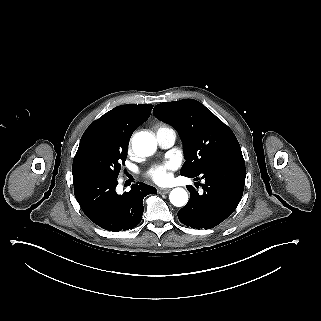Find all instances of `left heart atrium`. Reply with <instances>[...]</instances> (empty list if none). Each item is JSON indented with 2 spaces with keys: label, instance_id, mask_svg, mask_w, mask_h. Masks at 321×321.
Returning a JSON list of instances; mask_svg holds the SVG:
<instances>
[{
  "label": "left heart atrium",
  "instance_id": "39dd6f15",
  "mask_svg": "<svg viewBox=\"0 0 321 321\" xmlns=\"http://www.w3.org/2000/svg\"><path fill=\"white\" fill-rule=\"evenodd\" d=\"M177 166L178 162L175 160L156 164L148 170V177L157 183H167L171 178V171L176 169Z\"/></svg>",
  "mask_w": 321,
  "mask_h": 321
}]
</instances>
